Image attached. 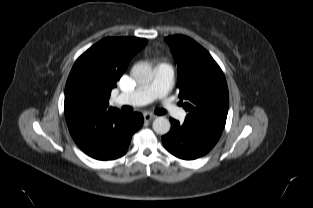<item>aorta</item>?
I'll return each instance as SVG.
<instances>
[{
  "label": "aorta",
  "instance_id": "aorta-1",
  "mask_svg": "<svg viewBox=\"0 0 313 208\" xmlns=\"http://www.w3.org/2000/svg\"><path fill=\"white\" fill-rule=\"evenodd\" d=\"M131 75L140 85L149 84L153 80V70L147 63L140 62L136 63L131 69ZM153 130L159 134H167L170 130V121L163 117H157L152 124Z\"/></svg>",
  "mask_w": 313,
  "mask_h": 208
}]
</instances>
